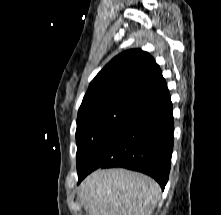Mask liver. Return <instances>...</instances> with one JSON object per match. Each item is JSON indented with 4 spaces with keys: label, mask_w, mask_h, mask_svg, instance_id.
I'll list each match as a JSON object with an SVG mask.
<instances>
[{
    "label": "liver",
    "mask_w": 221,
    "mask_h": 215,
    "mask_svg": "<svg viewBox=\"0 0 221 215\" xmlns=\"http://www.w3.org/2000/svg\"><path fill=\"white\" fill-rule=\"evenodd\" d=\"M78 192L89 215H152L161 198L154 179L121 168L91 173Z\"/></svg>",
    "instance_id": "liver-1"
}]
</instances>
